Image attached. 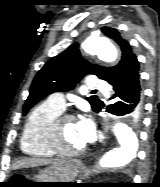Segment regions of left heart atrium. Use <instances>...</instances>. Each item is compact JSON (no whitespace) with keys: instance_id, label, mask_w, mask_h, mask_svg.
I'll return each mask as SVG.
<instances>
[{"instance_id":"1","label":"left heart atrium","mask_w":160,"mask_h":187,"mask_svg":"<svg viewBox=\"0 0 160 187\" xmlns=\"http://www.w3.org/2000/svg\"><path fill=\"white\" fill-rule=\"evenodd\" d=\"M77 128L82 140L85 143L91 142L95 135L94 124L89 119H82L77 121Z\"/></svg>"}]
</instances>
